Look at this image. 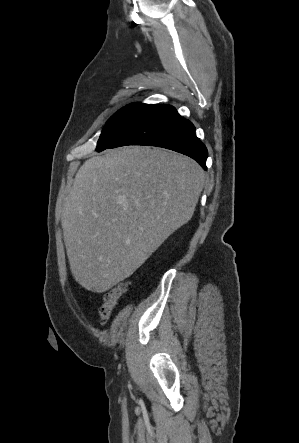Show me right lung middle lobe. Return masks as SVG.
<instances>
[{
	"instance_id": "1",
	"label": "right lung middle lobe",
	"mask_w": 299,
	"mask_h": 443,
	"mask_svg": "<svg viewBox=\"0 0 299 443\" xmlns=\"http://www.w3.org/2000/svg\"><path fill=\"white\" fill-rule=\"evenodd\" d=\"M147 104L133 103L117 111L106 123L97 143L96 151L108 148L141 114Z\"/></svg>"
}]
</instances>
